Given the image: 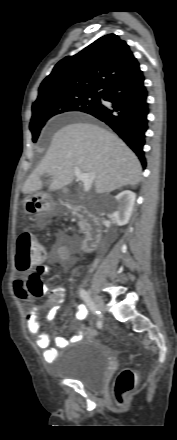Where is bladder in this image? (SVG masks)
<instances>
[{
	"label": "bladder",
	"instance_id": "31cf9c89",
	"mask_svg": "<svg viewBox=\"0 0 177 440\" xmlns=\"http://www.w3.org/2000/svg\"><path fill=\"white\" fill-rule=\"evenodd\" d=\"M108 371V354L93 339H83L61 359L57 375L78 381L87 389L98 390Z\"/></svg>",
	"mask_w": 177,
	"mask_h": 440
}]
</instances>
